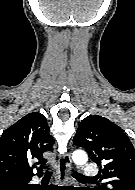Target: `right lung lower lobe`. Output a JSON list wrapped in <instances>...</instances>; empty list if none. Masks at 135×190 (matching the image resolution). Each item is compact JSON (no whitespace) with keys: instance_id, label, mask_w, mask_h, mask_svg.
<instances>
[{"instance_id":"obj_1","label":"right lung lower lobe","mask_w":135,"mask_h":190,"mask_svg":"<svg viewBox=\"0 0 135 190\" xmlns=\"http://www.w3.org/2000/svg\"><path fill=\"white\" fill-rule=\"evenodd\" d=\"M50 190H53L54 189V186H51L50 188H49ZM1 190V189H0ZM4 190V189H3ZM7 190H9V189H7ZM13 190V189H12ZM16 190H31L30 188H28V187H24V188H22V189H16Z\"/></svg>"}]
</instances>
